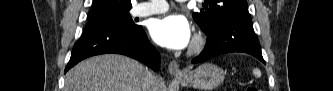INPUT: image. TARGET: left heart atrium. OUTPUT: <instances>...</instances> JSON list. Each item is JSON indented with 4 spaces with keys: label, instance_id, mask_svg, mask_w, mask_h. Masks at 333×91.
I'll return each instance as SVG.
<instances>
[{
    "label": "left heart atrium",
    "instance_id": "1",
    "mask_svg": "<svg viewBox=\"0 0 333 91\" xmlns=\"http://www.w3.org/2000/svg\"><path fill=\"white\" fill-rule=\"evenodd\" d=\"M153 40L168 49L181 50L189 46L192 38L188 20L178 14H171L153 20L150 26Z\"/></svg>",
    "mask_w": 333,
    "mask_h": 91
}]
</instances>
